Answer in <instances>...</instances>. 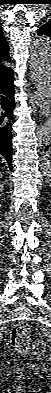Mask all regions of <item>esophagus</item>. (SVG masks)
<instances>
[{
  "label": "esophagus",
  "mask_w": 51,
  "mask_h": 393,
  "mask_svg": "<svg viewBox=\"0 0 51 393\" xmlns=\"http://www.w3.org/2000/svg\"><path fill=\"white\" fill-rule=\"evenodd\" d=\"M31 101L32 103L36 104L40 107V115L48 116L49 115V105L46 102H43L38 93L34 92L31 94Z\"/></svg>",
  "instance_id": "34e87169"
}]
</instances>
